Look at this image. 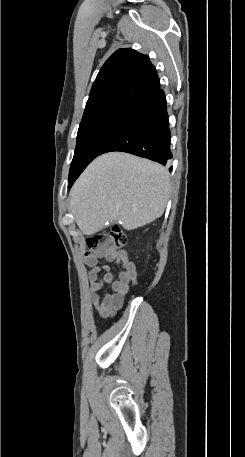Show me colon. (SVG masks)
Returning a JSON list of instances; mask_svg holds the SVG:
<instances>
[{
  "label": "colon",
  "mask_w": 245,
  "mask_h": 457,
  "mask_svg": "<svg viewBox=\"0 0 245 457\" xmlns=\"http://www.w3.org/2000/svg\"><path fill=\"white\" fill-rule=\"evenodd\" d=\"M127 243V236L118 225L111 226L106 231L97 232L86 240V256L96 255L105 257L117 252Z\"/></svg>",
  "instance_id": "colon-1"
}]
</instances>
